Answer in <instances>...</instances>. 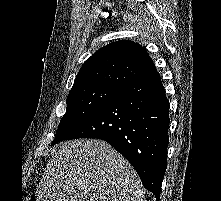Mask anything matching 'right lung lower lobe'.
I'll return each mask as SVG.
<instances>
[{
	"instance_id": "obj_1",
	"label": "right lung lower lobe",
	"mask_w": 221,
	"mask_h": 201,
	"mask_svg": "<svg viewBox=\"0 0 221 201\" xmlns=\"http://www.w3.org/2000/svg\"><path fill=\"white\" fill-rule=\"evenodd\" d=\"M169 101L156 69L121 88L66 140L108 142L135 168L159 201L167 167Z\"/></svg>"
}]
</instances>
